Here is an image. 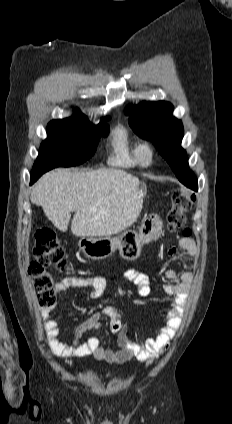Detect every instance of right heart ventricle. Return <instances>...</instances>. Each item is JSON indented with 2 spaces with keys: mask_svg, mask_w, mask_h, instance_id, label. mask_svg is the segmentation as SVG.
<instances>
[{
  "mask_svg": "<svg viewBox=\"0 0 232 424\" xmlns=\"http://www.w3.org/2000/svg\"><path fill=\"white\" fill-rule=\"evenodd\" d=\"M141 143L133 141L128 130L119 126L114 129L110 141L108 163L119 168H130L142 165L138 150Z\"/></svg>",
  "mask_w": 232,
  "mask_h": 424,
  "instance_id": "obj_1",
  "label": "right heart ventricle"
}]
</instances>
